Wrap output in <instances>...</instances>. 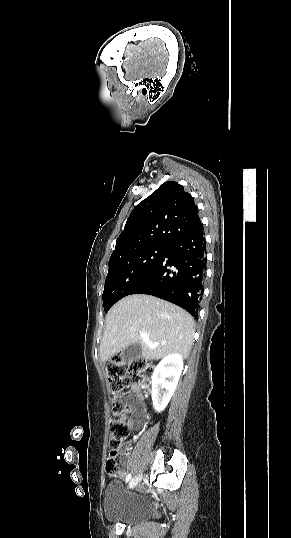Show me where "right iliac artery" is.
Here are the masks:
<instances>
[{
  "label": "right iliac artery",
  "mask_w": 291,
  "mask_h": 538,
  "mask_svg": "<svg viewBox=\"0 0 291 538\" xmlns=\"http://www.w3.org/2000/svg\"><path fill=\"white\" fill-rule=\"evenodd\" d=\"M131 479V474H128L126 477V482H128Z\"/></svg>",
  "instance_id": "right-iliac-artery-1"
}]
</instances>
